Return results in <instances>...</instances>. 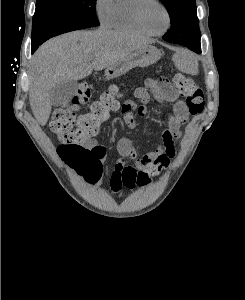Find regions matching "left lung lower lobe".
I'll return each instance as SVG.
<instances>
[{"mask_svg":"<svg viewBox=\"0 0 245 300\" xmlns=\"http://www.w3.org/2000/svg\"><path fill=\"white\" fill-rule=\"evenodd\" d=\"M200 38L201 36H197V37H191V38H185L183 40H173L172 43H177V44H181L184 45L188 48H190L191 50L200 53L201 49H200Z\"/></svg>","mask_w":245,"mask_h":300,"instance_id":"1","label":"left lung lower lobe"}]
</instances>
